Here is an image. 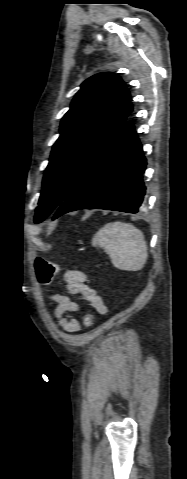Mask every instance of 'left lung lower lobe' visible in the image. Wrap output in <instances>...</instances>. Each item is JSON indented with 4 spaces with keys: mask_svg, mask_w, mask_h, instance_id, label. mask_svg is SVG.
Here are the masks:
<instances>
[{
    "mask_svg": "<svg viewBox=\"0 0 187 479\" xmlns=\"http://www.w3.org/2000/svg\"><path fill=\"white\" fill-rule=\"evenodd\" d=\"M145 168L142 145L133 124L127 121L112 146L90 166L56 209L53 219L80 209L137 213L145 196Z\"/></svg>",
    "mask_w": 187,
    "mask_h": 479,
    "instance_id": "left-lung-lower-lobe-1",
    "label": "left lung lower lobe"
}]
</instances>
